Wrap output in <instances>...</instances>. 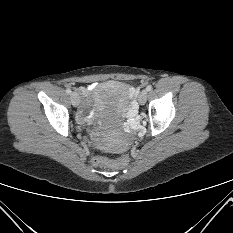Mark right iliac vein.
<instances>
[{
	"label": "right iliac vein",
	"mask_w": 233,
	"mask_h": 233,
	"mask_svg": "<svg viewBox=\"0 0 233 233\" xmlns=\"http://www.w3.org/2000/svg\"><path fill=\"white\" fill-rule=\"evenodd\" d=\"M70 99H71V103L74 107H77L79 105L80 98L76 92L71 93Z\"/></svg>",
	"instance_id": "right-iliac-vein-1"
}]
</instances>
